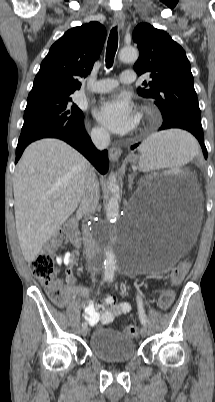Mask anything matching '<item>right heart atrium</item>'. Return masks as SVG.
<instances>
[{
	"mask_svg": "<svg viewBox=\"0 0 215 402\" xmlns=\"http://www.w3.org/2000/svg\"><path fill=\"white\" fill-rule=\"evenodd\" d=\"M92 137L96 141H105L108 138L107 131L101 126H95L92 129Z\"/></svg>",
	"mask_w": 215,
	"mask_h": 402,
	"instance_id": "1",
	"label": "right heart atrium"
}]
</instances>
